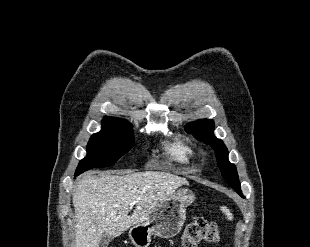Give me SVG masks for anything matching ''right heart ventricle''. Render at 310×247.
Masks as SVG:
<instances>
[{
  "label": "right heart ventricle",
  "instance_id": "1",
  "mask_svg": "<svg viewBox=\"0 0 310 247\" xmlns=\"http://www.w3.org/2000/svg\"><path fill=\"white\" fill-rule=\"evenodd\" d=\"M170 158L181 164H189L195 156V150L186 141L174 139L167 146Z\"/></svg>",
  "mask_w": 310,
  "mask_h": 247
}]
</instances>
